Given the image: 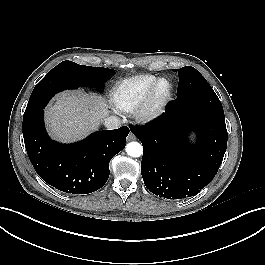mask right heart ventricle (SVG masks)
Listing matches in <instances>:
<instances>
[{
    "label": "right heart ventricle",
    "mask_w": 265,
    "mask_h": 265,
    "mask_svg": "<svg viewBox=\"0 0 265 265\" xmlns=\"http://www.w3.org/2000/svg\"><path fill=\"white\" fill-rule=\"evenodd\" d=\"M155 75L143 74L119 81L111 92V103L118 112L132 113L143 100Z\"/></svg>",
    "instance_id": "right-heart-ventricle-1"
}]
</instances>
